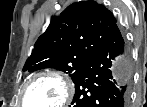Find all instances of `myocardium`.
Returning a JSON list of instances; mask_svg holds the SVG:
<instances>
[{"mask_svg":"<svg viewBox=\"0 0 147 107\" xmlns=\"http://www.w3.org/2000/svg\"><path fill=\"white\" fill-rule=\"evenodd\" d=\"M42 79H53V80L57 81L62 88L63 95H62L61 100L52 107H63L70 102L72 95H73L72 82L64 74H62L58 71L47 70V71H42V72L35 74L25 83V85L23 86V88L21 90V95H20V102L23 105H27L26 104V93H27L29 87L34 82H36L38 80H42Z\"/></svg>","mask_w":147,"mask_h":107,"instance_id":"f54148a6","label":"myocardium"}]
</instances>
